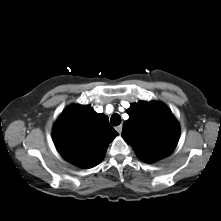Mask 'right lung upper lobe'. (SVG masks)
Returning a JSON list of instances; mask_svg holds the SVG:
<instances>
[{
    "label": "right lung upper lobe",
    "mask_w": 221,
    "mask_h": 221,
    "mask_svg": "<svg viewBox=\"0 0 221 221\" xmlns=\"http://www.w3.org/2000/svg\"><path fill=\"white\" fill-rule=\"evenodd\" d=\"M118 135L104 114L91 106L71 105L53 128V141L58 152L72 164L91 168L100 163L108 144Z\"/></svg>",
    "instance_id": "right-lung-upper-lobe-1"
}]
</instances>
